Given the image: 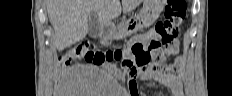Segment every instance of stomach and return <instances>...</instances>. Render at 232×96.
<instances>
[{
	"mask_svg": "<svg viewBox=\"0 0 232 96\" xmlns=\"http://www.w3.org/2000/svg\"><path fill=\"white\" fill-rule=\"evenodd\" d=\"M165 3L166 0H145L142 10L137 16L121 24L118 28L113 25L108 27L102 37L106 40H121L140 28L151 26L159 17Z\"/></svg>",
	"mask_w": 232,
	"mask_h": 96,
	"instance_id": "obj_1",
	"label": "stomach"
}]
</instances>
